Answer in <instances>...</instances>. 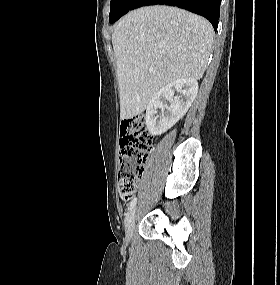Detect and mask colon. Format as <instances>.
I'll use <instances>...</instances> for the list:
<instances>
[{
    "label": "colon",
    "mask_w": 280,
    "mask_h": 285,
    "mask_svg": "<svg viewBox=\"0 0 280 285\" xmlns=\"http://www.w3.org/2000/svg\"><path fill=\"white\" fill-rule=\"evenodd\" d=\"M120 135L118 191L121 198L129 200L142 177L147 153L152 146V135L143 115L124 120Z\"/></svg>",
    "instance_id": "obj_1"
}]
</instances>
